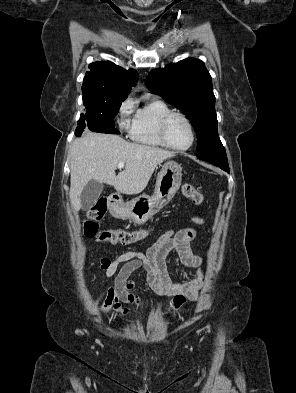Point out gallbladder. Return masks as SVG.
Masks as SVG:
<instances>
[{"label": "gallbladder", "mask_w": 296, "mask_h": 393, "mask_svg": "<svg viewBox=\"0 0 296 393\" xmlns=\"http://www.w3.org/2000/svg\"><path fill=\"white\" fill-rule=\"evenodd\" d=\"M103 191V184L98 183L95 180H91L84 187L80 200H81V208L83 210H89L94 206L97 202L100 194Z\"/></svg>", "instance_id": "bac80fb5"}]
</instances>
